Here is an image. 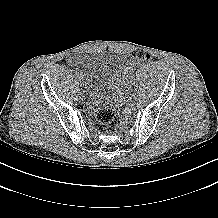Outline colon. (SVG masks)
I'll return each instance as SVG.
<instances>
[{"instance_id": "1", "label": "colon", "mask_w": 218, "mask_h": 218, "mask_svg": "<svg viewBox=\"0 0 218 218\" xmlns=\"http://www.w3.org/2000/svg\"><path fill=\"white\" fill-rule=\"evenodd\" d=\"M150 55L145 51H139L137 53L138 60L145 62L149 59ZM115 117L113 108L106 106L101 107L96 112V119L103 128H108L112 124Z\"/></svg>"}]
</instances>
